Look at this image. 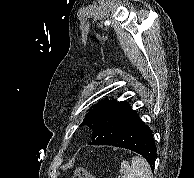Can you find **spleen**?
Wrapping results in <instances>:
<instances>
[{"mask_svg":"<svg viewBox=\"0 0 194 178\" xmlns=\"http://www.w3.org/2000/svg\"><path fill=\"white\" fill-rule=\"evenodd\" d=\"M120 172L122 178H152L149 164L139 156L132 158L131 166L128 161H122Z\"/></svg>","mask_w":194,"mask_h":178,"instance_id":"1","label":"spleen"}]
</instances>
